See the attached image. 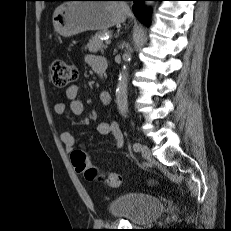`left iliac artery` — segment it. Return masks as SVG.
<instances>
[{
    "instance_id": "44dca946",
    "label": "left iliac artery",
    "mask_w": 231,
    "mask_h": 231,
    "mask_svg": "<svg viewBox=\"0 0 231 231\" xmlns=\"http://www.w3.org/2000/svg\"><path fill=\"white\" fill-rule=\"evenodd\" d=\"M140 148H141V144H140V143H135V144L133 145V150H134L135 152H138V151L140 150Z\"/></svg>"
}]
</instances>
